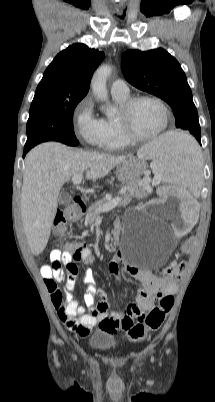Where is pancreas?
<instances>
[{"label":"pancreas","instance_id":"cf45deb5","mask_svg":"<svg viewBox=\"0 0 215 402\" xmlns=\"http://www.w3.org/2000/svg\"><path fill=\"white\" fill-rule=\"evenodd\" d=\"M123 188L125 189V192L123 193V200L120 202L119 206H126L131 202L132 197L145 194V191L149 189V186H144L140 181H136L125 184ZM108 202L109 200L107 198H103L89 206L85 217L86 224H93L97 217H99V208L103 207Z\"/></svg>","mask_w":215,"mask_h":402}]
</instances>
